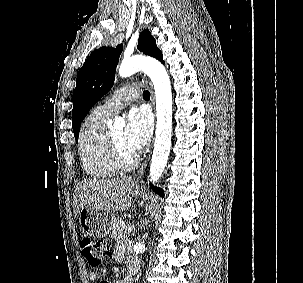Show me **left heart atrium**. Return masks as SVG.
<instances>
[{"instance_id":"obj_1","label":"left heart atrium","mask_w":303,"mask_h":283,"mask_svg":"<svg viewBox=\"0 0 303 283\" xmlns=\"http://www.w3.org/2000/svg\"><path fill=\"white\" fill-rule=\"evenodd\" d=\"M152 120L149 113L141 108H132L127 114L124 141L134 154L140 152L149 142Z\"/></svg>"}]
</instances>
